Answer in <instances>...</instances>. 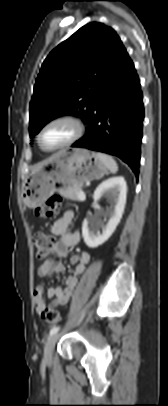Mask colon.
Masks as SVG:
<instances>
[{
	"label": "colon",
	"instance_id": "5ec220e1",
	"mask_svg": "<svg viewBox=\"0 0 168 406\" xmlns=\"http://www.w3.org/2000/svg\"><path fill=\"white\" fill-rule=\"evenodd\" d=\"M61 198L53 195L47 199L45 204L35 209L37 216L42 218H51L60 208ZM33 243L36 250V258L38 260L45 259L53 250L56 240L50 235L38 232L33 237ZM42 318L50 324H57L60 322V315L58 311L51 307H45L41 311Z\"/></svg>",
	"mask_w": 168,
	"mask_h": 406
}]
</instances>
